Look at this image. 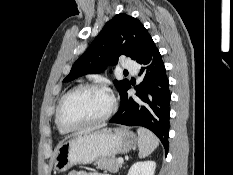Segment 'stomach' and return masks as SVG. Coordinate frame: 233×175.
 <instances>
[{
	"mask_svg": "<svg viewBox=\"0 0 233 175\" xmlns=\"http://www.w3.org/2000/svg\"><path fill=\"white\" fill-rule=\"evenodd\" d=\"M136 144V135L125 127L100 128L59 144L54 153V168L65 172L76 164H90L99 158L125 154Z\"/></svg>",
	"mask_w": 233,
	"mask_h": 175,
	"instance_id": "obj_1",
	"label": "stomach"
}]
</instances>
